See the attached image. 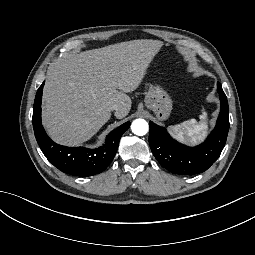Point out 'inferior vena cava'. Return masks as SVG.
I'll return each mask as SVG.
<instances>
[{"label":"inferior vena cava","instance_id":"1","mask_svg":"<svg viewBox=\"0 0 255 255\" xmlns=\"http://www.w3.org/2000/svg\"><path fill=\"white\" fill-rule=\"evenodd\" d=\"M110 110H118L119 109V104L118 103H113L109 106Z\"/></svg>","mask_w":255,"mask_h":255}]
</instances>
